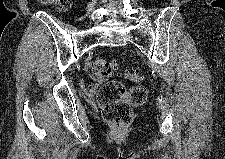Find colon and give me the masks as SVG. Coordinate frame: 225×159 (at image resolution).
I'll use <instances>...</instances> for the list:
<instances>
[{"instance_id":"1","label":"colon","mask_w":225,"mask_h":159,"mask_svg":"<svg viewBox=\"0 0 225 159\" xmlns=\"http://www.w3.org/2000/svg\"><path fill=\"white\" fill-rule=\"evenodd\" d=\"M48 2L49 0H44ZM61 11H66L71 6V0H52ZM93 75L96 80H105L97 94V100L103 118L115 126L128 124L133 117V108L146 102L147 90L142 85L127 89L123 83L108 80L118 69V61L98 58L93 62ZM124 78L140 82L143 75L137 71L126 70Z\"/></svg>"}]
</instances>
